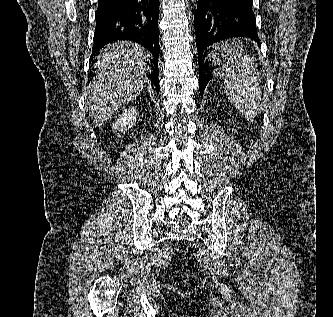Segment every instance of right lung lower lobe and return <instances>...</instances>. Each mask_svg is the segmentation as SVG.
<instances>
[{"mask_svg": "<svg viewBox=\"0 0 333 317\" xmlns=\"http://www.w3.org/2000/svg\"><path fill=\"white\" fill-rule=\"evenodd\" d=\"M159 0H99L95 13L96 28L92 56L106 44L131 40L143 45L153 55L149 79L159 93L158 29Z\"/></svg>", "mask_w": 333, "mask_h": 317, "instance_id": "98d812e1", "label": "right lung lower lobe"}]
</instances>
